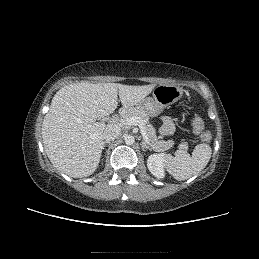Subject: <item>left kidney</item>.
Returning <instances> with one entry per match:
<instances>
[{
    "instance_id": "left-kidney-1",
    "label": "left kidney",
    "mask_w": 259,
    "mask_h": 259,
    "mask_svg": "<svg viewBox=\"0 0 259 259\" xmlns=\"http://www.w3.org/2000/svg\"><path fill=\"white\" fill-rule=\"evenodd\" d=\"M169 156L167 154H151L147 159V167L149 171L157 178L165 177V161Z\"/></svg>"
}]
</instances>
